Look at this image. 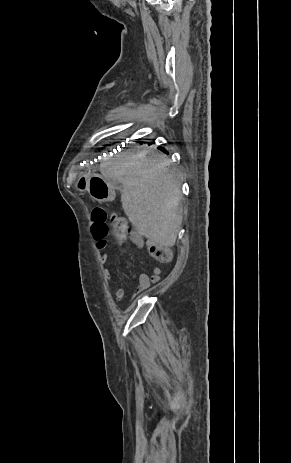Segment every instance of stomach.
Returning <instances> with one entry per match:
<instances>
[{"mask_svg": "<svg viewBox=\"0 0 291 463\" xmlns=\"http://www.w3.org/2000/svg\"><path fill=\"white\" fill-rule=\"evenodd\" d=\"M76 187L86 189L91 197L98 202H106L114 199L115 193L112 184L99 175H92L88 179H81Z\"/></svg>", "mask_w": 291, "mask_h": 463, "instance_id": "0dacf381", "label": "stomach"}]
</instances>
